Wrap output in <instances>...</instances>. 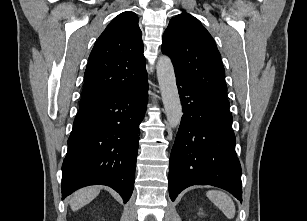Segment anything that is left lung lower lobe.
Segmentation results:
<instances>
[{
  "instance_id": "0a47b994",
  "label": "left lung lower lobe",
  "mask_w": 307,
  "mask_h": 221,
  "mask_svg": "<svg viewBox=\"0 0 307 221\" xmlns=\"http://www.w3.org/2000/svg\"><path fill=\"white\" fill-rule=\"evenodd\" d=\"M183 117L169 163L172 201L192 185L223 188L242 201L241 166L229 106L203 94L176 75Z\"/></svg>"
}]
</instances>
